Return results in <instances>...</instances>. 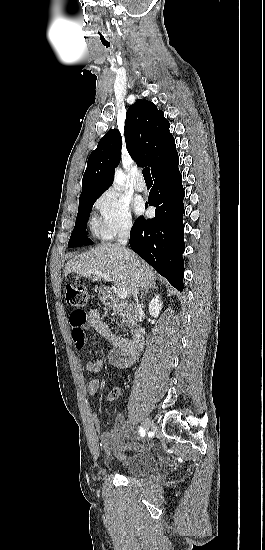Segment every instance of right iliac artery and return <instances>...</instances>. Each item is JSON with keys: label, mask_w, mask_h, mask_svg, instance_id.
<instances>
[{"label": "right iliac artery", "mask_w": 265, "mask_h": 550, "mask_svg": "<svg viewBox=\"0 0 265 550\" xmlns=\"http://www.w3.org/2000/svg\"><path fill=\"white\" fill-rule=\"evenodd\" d=\"M139 433L141 437L145 436V430L142 427H139Z\"/></svg>", "instance_id": "obj_1"}]
</instances>
